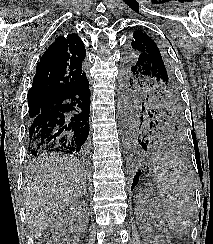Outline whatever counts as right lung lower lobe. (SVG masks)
<instances>
[{
  "mask_svg": "<svg viewBox=\"0 0 213 244\" xmlns=\"http://www.w3.org/2000/svg\"><path fill=\"white\" fill-rule=\"evenodd\" d=\"M89 111L90 89L86 75L73 89L40 100L30 117L29 154L86 152Z\"/></svg>",
  "mask_w": 213,
  "mask_h": 244,
  "instance_id": "right-lung-lower-lobe-1",
  "label": "right lung lower lobe"
}]
</instances>
